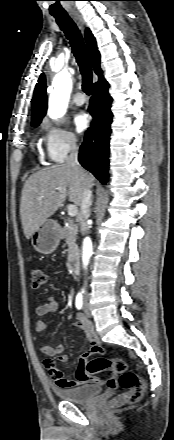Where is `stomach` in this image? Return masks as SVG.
<instances>
[{
	"label": "stomach",
	"instance_id": "obj_1",
	"mask_svg": "<svg viewBox=\"0 0 174 440\" xmlns=\"http://www.w3.org/2000/svg\"><path fill=\"white\" fill-rule=\"evenodd\" d=\"M60 230L55 220L46 219L31 236L34 249L41 254L54 252L60 242Z\"/></svg>",
	"mask_w": 174,
	"mask_h": 440
}]
</instances>
